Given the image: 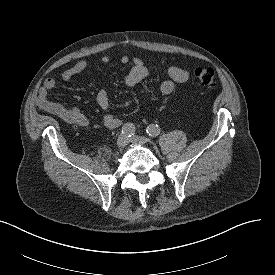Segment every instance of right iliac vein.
<instances>
[{"label": "right iliac vein", "instance_id": "obj_1", "mask_svg": "<svg viewBox=\"0 0 275 275\" xmlns=\"http://www.w3.org/2000/svg\"><path fill=\"white\" fill-rule=\"evenodd\" d=\"M130 139L125 134H121L117 139V145L119 147H125L129 143Z\"/></svg>", "mask_w": 275, "mask_h": 275}]
</instances>
